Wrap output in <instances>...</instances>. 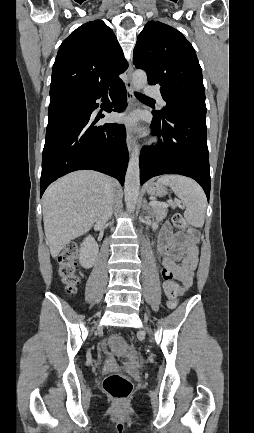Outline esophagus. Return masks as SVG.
I'll return each mask as SVG.
<instances>
[{
  "instance_id": "1",
  "label": "esophagus",
  "mask_w": 254,
  "mask_h": 433,
  "mask_svg": "<svg viewBox=\"0 0 254 433\" xmlns=\"http://www.w3.org/2000/svg\"><path fill=\"white\" fill-rule=\"evenodd\" d=\"M132 74H133V66L132 64H130L127 71V81L125 84L127 90V98L129 102V109L132 108L135 104V95H134L135 88L132 83ZM126 143H127L128 150L131 152L135 147V141L133 138V134L129 130L127 131V135H126Z\"/></svg>"
}]
</instances>
